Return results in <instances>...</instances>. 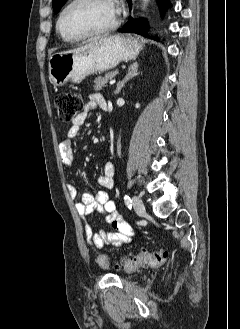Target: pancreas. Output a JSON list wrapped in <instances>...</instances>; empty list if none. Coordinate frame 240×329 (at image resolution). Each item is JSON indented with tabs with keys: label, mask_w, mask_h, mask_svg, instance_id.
<instances>
[{
	"label": "pancreas",
	"mask_w": 240,
	"mask_h": 329,
	"mask_svg": "<svg viewBox=\"0 0 240 329\" xmlns=\"http://www.w3.org/2000/svg\"><path fill=\"white\" fill-rule=\"evenodd\" d=\"M117 73H118L117 71H113L105 74L103 77L102 76L97 77L94 80V89L96 91H100L102 87H104L109 80H111L113 77L117 75Z\"/></svg>",
	"instance_id": "obj_1"
}]
</instances>
